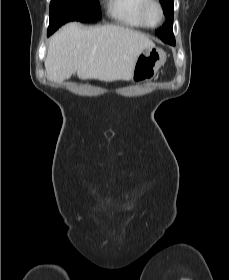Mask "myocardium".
I'll return each instance as SVG.
<instances>
[{
	"label": "myocardium",
	"instance_id": "myocardium-1",
	"mask_svg": "<svg viewBox=\"0 0 229 280\" xmlns=\"http://www.w3.org/2000/svg\"><path fill=\"white\" fill-rule=\"evenodd\" d=\"M156 7L159 11V20L156 24H151L148 21V11L152 8ZM140 16L141 19L144 23V25L147 28H154L157 27L161 22L163 21L164 18V11L161 3L158 0H146L145 4L143 5L141 11H140Z\"/></svg>",
	"mask_w": 229,
	"mask_h": 280
}]
</instances>
